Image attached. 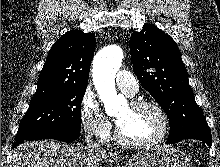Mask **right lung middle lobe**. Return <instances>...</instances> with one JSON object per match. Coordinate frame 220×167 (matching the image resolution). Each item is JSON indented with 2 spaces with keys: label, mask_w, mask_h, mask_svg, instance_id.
Wrapping results in <instances>:
<instances>
[{
  "label": "right lung middle lobe",
  "mask_w": 220,
  "mask_h": 167,
  "mask_svg": "<svg viewBox=\"0 0 220 167\" xmlns=\"http://www.w3.org/2000/svg\"><path fill=\"white\" fill-rule=\"evenodd\" d=\"M85 91L86 87H69L32 99L15 140L29 139L43 133L80 130L81 101Z\"/></svg>",
  "instance_id": "dd1d6c3e"
}]
</instances>
